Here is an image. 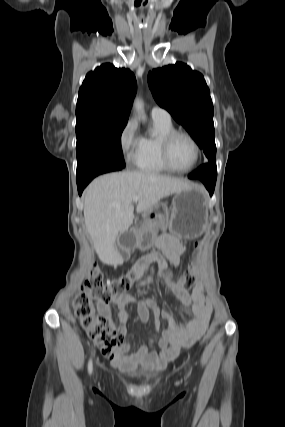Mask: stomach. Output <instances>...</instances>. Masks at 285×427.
I'll list each match as a JSON object with an SVG mask.
<instances>
[{"label":"stomach","instance_id":"1","mask_svg":"<svg viewBox=\"0 0 285 427\" xmlns=\"http://www.w3.org/2000/svg\"><path fill=\"white\" fill-rule=\"evenodd\" d=\"M209 197L202 186L193 184L177 192L171 206L156 204L144 213V224L133 232L131 247L149 248L159 229L181 238H196L208 226Z\"/></svg>","mask_w":285,"mask_h":427}]
</instances>
